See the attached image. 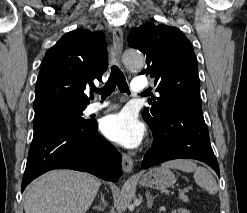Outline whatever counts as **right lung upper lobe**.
Returning a JSON list of instances; mask_svg holds the SVG:
<instances>
[{
	"label": "right lung upper lobe",
	"instance_id": "cb5924a9",
	"mask_svg": "<svg viewBox=\"0 0 247 213\" xmlns=\"http://www.w3.org/2000/svg\"><path fill=\"white\" fill-rule=\"evenodd\" d=\"M108 66L105 36L87 29L66 33L48 50L35 88L34 110L56 100L88 104L85 90Z\"/></svg>",
	"mask_w": 247,
	"mask_h": 213
}]
</instances>
